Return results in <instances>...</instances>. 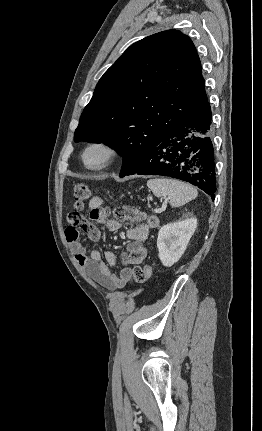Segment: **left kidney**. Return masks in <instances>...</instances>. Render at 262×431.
Wrapping results in <instances>:
<instances>
[{
	"label": "left kidney",
	"mask_w": 262,
	"mask_h": 431,
	"mask_svg": "<svg viewBox=\"0 0 262 431\" xmlns=\"http://www.w3.org/2000/svg\"><path fill=\"white\" fill-rule=\"evenodd\" d=\"M196 227L197 220L190 218L160 228L157 248L158 256L164 266L170 267L181 258Z\"/></svg>",
	"instance_id": "left-kidney-1"
}]
</instances>
